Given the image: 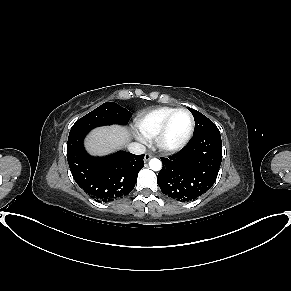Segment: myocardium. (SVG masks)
<instances>
[{
	"instance_id": "myocardium-1",
	"label": "myocardium",
	"mask_w": 291,
	"mask_h": 291,
	"mask_svg": "<svg viewBox=\"0 0 291 291\" xmlns=\"http://www.w3.org/2000/svg\"><path fill=\"white\" fill-rule=\"evenodd\" d=\"M179 112H186L189 115L190 127H189L186 135L183 137V139H181L179 142H177L175 144H168L166 142V135H167L170 123H171L173 117ZM194 128H195V119H194L192 112L187 108H176L165 119L161 129L159 130L158 134L156 135V137H155L156 145L163 152H167V153L177 152V151L183 149L188 144V142L190 141V139L193 135Z\"/></svg>"
}]
</instances>
